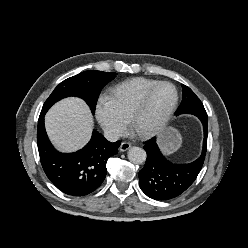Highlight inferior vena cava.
<instances>
[{
	"instance_id": "1",
	"label": "inferior vena cava",
	"mask_w": 248,
	"mask_h": 248,
	"mask_svg": "<svg viewBox=\"0 0 248 248\" xmlns=\"http://www.w3.org/2000/svg\"><path fill=\"white\" fill-rule=\"evenodd\" d=\"M120 136V133L115 129L107 128L104 130V137L110 142H116Z\"/></svg>"
}]
</instances>
